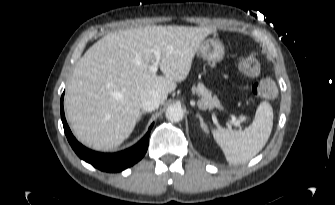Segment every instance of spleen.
<instances>
[{"label": "spleen", "mask_w": 335, "mask_h": 205, "mask_svg": "<svg viewBox=\"0 0 335 205\" xmlns=\"http://www.w3.org/2000/svg\"><path fill=\"white\" fill-rule=\"evenodd\" d=\"M273 127V109L261 102L253 122L244 130L219 128L212 131L229 164H243L252 159L266 145Z\"/></svg>", "instance_id": "1"}]
</instances>
